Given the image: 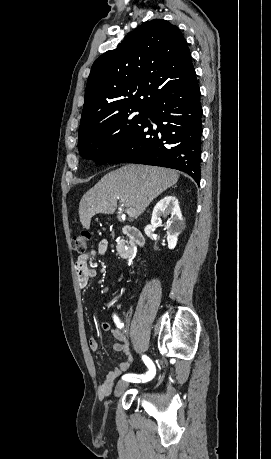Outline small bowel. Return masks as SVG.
<instances>
[{
	"label": "small bowel",
	"mask_w": 271,
	"mask_h": 459,
	"mask_svg": "<svg viewBox=\"0 0 271 459\" xmlns=\"http://www.w3.org/2000/svg\"><path fill=\"white\" fill-rule=\"evenodd\" d=\"M109 242L107 239H101L97 247L89 252L82 254L78 257L75 264V271L78 279L80 288H86L88 282L91 278L96 276V270L90 266V260L96 256H103L108 252ZM101 327L104 331L111 330L116 343L113 345V349L117 352H120L123 356L126 357V360L121 362L118 366L114 367L108 371L104 377L102 385L98 389V394L100 397L104 398L109 395L111 392L115 380L120 377L125 371H127L132 363L133 357L132 352L125 335L124 327L123 328H111V323L109 321H104L101 324ZM89 347L92 351L98 350V342L94 338H90L88 341Z\"/></svg>",
	"instance_id": "obj_1"
}]
</instances>
